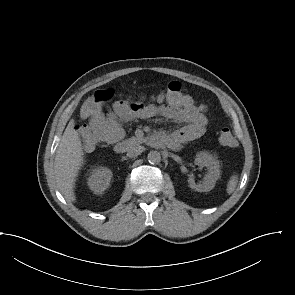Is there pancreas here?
Listing matches in <instances>:
<instances>
[{
	"label": "pancreas",
	"mask_w": 295,
	"mask_h": 295,
	"mask_svg": "<svg viewBox=\"0 0 295 295\" xmlns=\"http://www.w3.org/2000/svg\"><path fill=\"white\" fill-rule=\"evenodd\" d=\"M143 142H144V138L135 137V136H133V137L129 138L128 140H126L127 145L130 146V147L139 145V144H141Z\"/></svg>",
	"instance_id": "obj_1"
}]
</instances>
